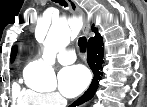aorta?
<instances>
[{"label": "aorta", "mask_w": 147, "mask_h": 107, "mask_svg": "<svg viewBox=\"0 0 147 107\" xmlns=\"http://www.w3.org/2000/svg\"><path fill=\"white\" fill-rule=\"evenodd\" d=\"M71 40V29L62 21H54L43 42L42 59L27 66L32 73V84L40 89L53 90L56 87L55 73L52 66L55 64L57 51L66 47Z\"/></svg>", "instance_id": "aorta-1"}]
</instances>
